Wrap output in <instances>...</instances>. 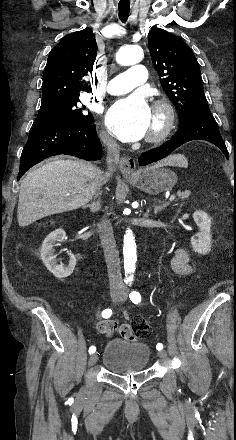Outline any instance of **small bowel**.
I'll list each match as a JSON object with an SVG mask.
<instances>
[{
	"mask_svg": "<svg viewBox=\"0 0 236 440\" xmlns=\"http://www.w3.org/2000/svg\"><path fill=\"white\" fill-rule=\"evenodd\" d=\"M171 267L176 274L185 276L193 273L195 261L185 249L178 248L174 252ZM97 327L106 335L119 333L122 342H131L136 335L129 321L102 320L97 323Z\"/></svg>",
	"mask_w": 236,
	"mask_h": 440,
	"instance_id": "c3829d8e",
	"label": "small bowel"
}]
</instances>
